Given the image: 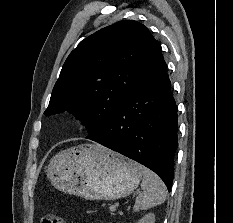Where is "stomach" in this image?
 Here are the masks:
<instances>
[{
	"label": "stomach",
	"mask_w": 233,
	"mask_h": 223,
	"mask_svg": "<svg viewBox=\"0 0 233 223\" xmlns=\"http://www.w3.org/2000/svg\"><path fill=\"white\" fill-rule=\"evenodd\" d=\"M142 165L102 145L84 143L52 157L48 179L67 193L85 199H119L133 193L142 179Z\"/></svg>",
	"instance_id": "1"
}]
</instances>
